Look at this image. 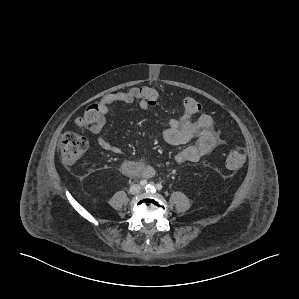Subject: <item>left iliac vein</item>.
I'll return each instance as SVG.
<instances>
[{
  "label": "left iliac vein",
  "instance_id": "obj_1",
  "mask_svg": "<svg viewBox=\"0 0 299 299\" xmlns=\"http://www.w3.org/2000/svg\"><path fill=\"white\" fill-rule=\"evenodd\" d=\"M151 186H152V189H153L154 188L153 184H151Z\"/></svg>",
  "mask_w": 299,
  "mask_h": 299
}]
</instances>
